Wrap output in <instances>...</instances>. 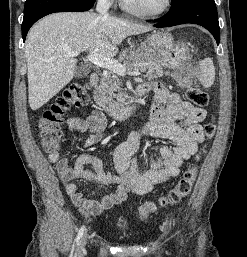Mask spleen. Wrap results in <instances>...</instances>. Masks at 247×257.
I'll return each mask as SVG.
<instances>
[{"label": "spleen", "mask_w": 247, "mask_h": 257, "mask_svg": "<svg viewBox=\"0 0 247 257\" xmlns=\"http://www.w3.org/2000/svg\"><path fill=\"white\" fill-rule=\"evenodd\" d=\"M199 80L205 88L211 87L214 83L215 68L211 58H205L201 61Z\"/></svg>", "instance_id": "spleen-1"}]
</instances>
